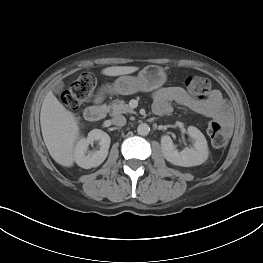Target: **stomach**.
Wrapping results in <instances>:
<instances>
[{"label":"stomach","instance_id":"obj_1","mask_svg":"<svg viewBox=\"0 0 263 263\" xmlns=\"http://www.w3.org/2000/svg\"><path fill=\"white\" fill-rule=\"evenodd\" d=\"M166 81L164 69L157 65L144 67L138 75L120 76L112 85H106L102 92L121 95H131L136 92H150L161 87Z\"/></svg>","mask_w":263,"mask_h":263}]
</instances>
